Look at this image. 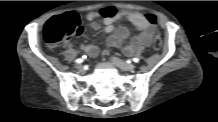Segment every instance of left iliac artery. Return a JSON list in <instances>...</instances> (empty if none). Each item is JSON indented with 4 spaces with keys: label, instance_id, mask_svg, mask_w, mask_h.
Listing matches in <instances>:
<instances>
[{
    "label": "left iliac artery",
    "instance_id": "obj_1",
    "mask_svg": "<svg viewBox=\"0 0 218 122\" xmlns=\"http://www.w3.org/2000/svg\"><path fill=\"white\" fill-rule=\"evenodd\" d=\"M135 63H138L139 62V59L138 58H133L132 59Z\"/></svg>",
    "mask_w": 218,
    "mask_h": 122
}]
</instances>
